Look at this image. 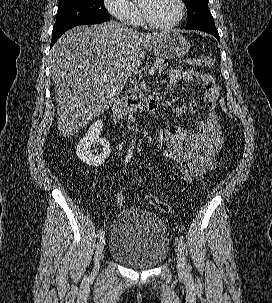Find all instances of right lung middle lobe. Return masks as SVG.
<instances>
[{"label":"right lung middle lobe","instance_id":"1","mask_svg":"<svg viewBox=\"0 0 272 303\" xmlns=\"http://www.w3.org/2000/svg\"><path fill=\"white\" fill-rule=\"evenodd\" d=\"M109 19L104 0H59L53 30L78 22H104Z\"/></svg>","mask_w":272,"mask_h":303}]
</instances>
